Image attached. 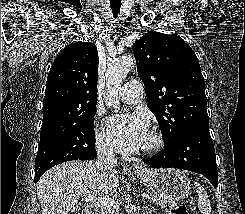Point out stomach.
Returning a JSON list of instances; mask_svg holds the SVG:
<instances>
[{"label": "stomach", "mask_w": 245, "mask_h": 214, "mask_svg": "<svg viewBox=\"0 0 245 214\" xmlns=\"http://www.w3.org/2000/svg\"><path fill=\"white\" fill-rule=\"evenodd\" d=\"M135 174L156 195L171 203L184 199L190 193V181L180 170L145 168L135 170Z\"/></svg>", "instance_id": "0dacf381"}]
</instances>
